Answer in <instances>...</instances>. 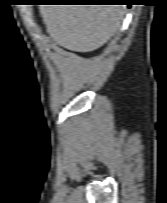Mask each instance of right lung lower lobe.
Returning a JSON list of instances; mask_svg holds the SVG:
<instances>
[{"label":"right lung lower lobe","mask_w":167,"mask_h":203,"mask_svg":"<svg viewBox=\"0 0 167 203\" xmlns=\"http://www.w3.org/2000/svg\"><path fill=\"white\" fill-rule=\"evenodd\" d=\"M99 1H101V0H99ZM107 1H117V0H107ZM128 6H130V5H128Z\"/></svg>","instance_id":"obj_1"}]
</instances>
